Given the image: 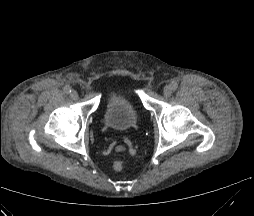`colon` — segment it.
Listing matches in <instances>:
<instances>
[{"label": "colon", "instance_id": "5ec220e1", "mask_svg": "<svg viewBox=\"0 0 254 216\" xmlns=\"http://www.w3.org/2000/svg\"><path fill=\"white\" fill-rule=\"evenodd\" d=\"M112 167L115 171H121L123 168V160L121 158H115Z\"/></svg>", "mask_w": 254, "mask_h": 216}]
</instances>
